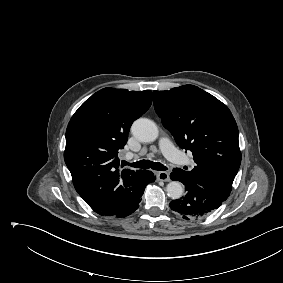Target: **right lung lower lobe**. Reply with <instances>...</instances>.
Listing matches in <instances>:
<instances>
[{
	"label": "right lung lower lobe",
	"instance_id": "98d812e1",
	"mask_svg": "<svg viewBox=\"0 0 283 283\" xmlns=\"http://www.w3.org/2000/svg\"><path fill=\"white\" fill-rule=\"evenodd\" d=\"M154 180H155V176L151 171L142 170L140 173V192L139 194L130 203L124 206L120 211L113 214V216L126 217L132 214L139 207L138 204L140 202V197L142 196L146 185Z\"/></svg>",
	"mask_w": 283,
	"mask_h": 283
}]
</instances>
